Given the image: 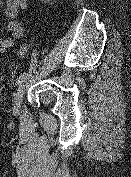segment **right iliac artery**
I'll list each match as a JSON object with an SVG mask.
<instances>
[{
	"label": "right iliac artery",
	"mask_w": 131,
	"mask_h": 177,
	"mask_svg": "<svg viewBox=\"0 0 131 177\" xmlns=\"http://www.w3.org/2000/svg\"><path fill=\"white\" fill-rule=\"evenodd\" d=\"M30 76V73H22L17 80L18 85H21L23 82H25L27 80V78Z\"/></svg>",
	"instance_id": "right-iliac-artery-1"
}]
</instances>
